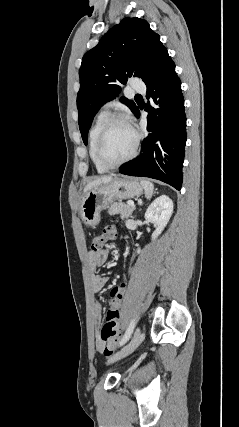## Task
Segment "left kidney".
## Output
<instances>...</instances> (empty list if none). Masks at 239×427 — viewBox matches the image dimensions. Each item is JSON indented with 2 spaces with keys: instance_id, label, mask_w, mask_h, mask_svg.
<instances>
[{
  "instance_id": "obj_1",
  "label": "left kidney",
  "mask_w": 239,
  "mask_h": 427,
  "mask_svg": "<svg viewBox=\"0 0 239 427\" xmlns=\"http://www.w3.org/2000/svg\"><path fill=\"white\" fill-rule=\"evenodd\" d=\"M173 213V201L166 195L156 198L148 207L145 213V219L154 223L156 229L152 234V240H155L166 227Z\"/></svg>"
}]
</instances>
